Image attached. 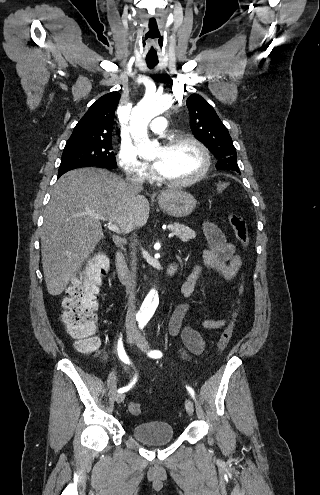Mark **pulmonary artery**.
<instances>
[{"label": "pulmonary artery", "instance_id": "e3ab8cb5", "mask_svg": "<svg viewBox=\"0 0 320 495\" xmlns=\"http://www.w3.org/2000/svg\"><path fill=\"white\" fill-rule=\"evenodd\" d=\"M167 127V119L164 116L154 118L150 124V130L155 134H162Z\"/></svg>", "mask_w": 320, "mask_h": 495}]
</instances>
